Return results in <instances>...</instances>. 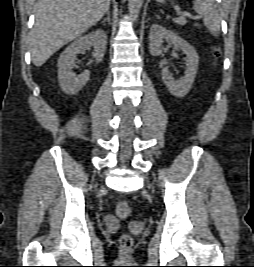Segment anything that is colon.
Here are the masks:
<instances>
[{"mask_svg":"<svg viewBox=\"0 0 254 267\" xmlns=\"http://www.w3.org/2000/svg\"><path fill=\"white\" fill-rule=\"evenodd\" d=\"M213 53L215 57H219L220 49L219 47L215 46L213 48ZM131 209L129 204L126 201H120L116 206V213L121 218H126L130 215ZM120 244L123 248H130L133 244V239L131 235L125 233L120 237Z\"/></svg>","mask_w":254,"mask_h":267,"instance_id":"obj_1","label":"colon"}]
</instances>
